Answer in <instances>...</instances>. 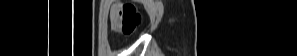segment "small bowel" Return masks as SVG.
Instances as JSON below:
<instances>
[{
	"label": "small bowel",
	"mask_w": 297,
	"mask_h": 56,
	"mask_svg": "<svg viewBox=\"0 0 297 56\" xmlns=\"http://www.w3.org/2000/svg\"><path fill=\"white\" fill-rule=\"evenodd\" d=\"M117 9H118V5H115L110 12V24H111V28L114 31H118V27H119V16L117 13Z\"/></svg>",
	"instance_id": "small-bowel-1"
}]
</instances>
